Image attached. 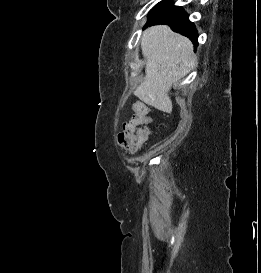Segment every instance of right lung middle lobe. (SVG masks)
I'll return each mask as SVG.
<instances>
[{
  "label": "right lung middle lobe",
  "mask_w": 261,
  "mask_h": 273,
  "mask_svg": "<svg viewBox=\"0 0 261 273\" xmlns=\"http://www.w3.org/2000/svg\"><path fill=\"white\" fill-rule=\"evenodd\" d=\"M168 1L167 0H163L162 2L158 3L151 11L149 16H157L160 14H163L164 12H166L169 7H168Z\"/></svg>",
  "instance_id": "1"
}]
</instances>
